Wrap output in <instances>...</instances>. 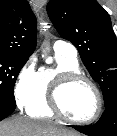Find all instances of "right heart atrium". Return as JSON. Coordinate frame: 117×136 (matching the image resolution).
<instances>
[{"instance_id":"right-heart-atrium-1","label":"right heart atrium","mask_w":117,"mask_h":136,"mask_svg":"<svg viewBox=\"0 0 117 136\" xmlns=\"http://www.w3.org/2000/svg\"><path fill=\"white\" fill-rule=\"evenodd\" d=\"M39 71L36 60L29 58L17 73L13 93L15 103L19 108L27 107L38 93Z\"/></svg>"}]
</instances>
